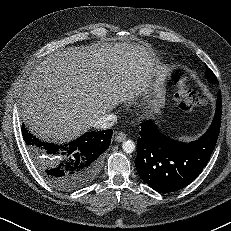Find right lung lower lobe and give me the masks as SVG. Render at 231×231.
Listing matches in <instances>:
<instances>
[{
    "instance_id": "right-lung-lower-lobe-1",
    "label": "right lung lower lobe",
    "mask_w": 231,
    "mask_h": 231,
    "mask_svg": "<svg viewBox=\"0 0 231 231\" xmlns=\"http://www.w3.org/2000/svg\"><path fill=\"white\" fill-rule=\"evenodd\" d=\"M22 133L41 175L57 189L70 192L88 185L97 177L113 131L87 132L64 145L39 140L25 125H22Z\"/></svg>"
}]
</instances>
